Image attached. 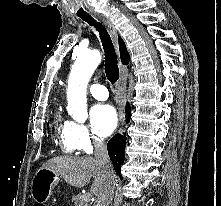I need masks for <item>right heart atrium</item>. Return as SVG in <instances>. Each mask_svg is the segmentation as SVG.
Listing matches in <instances>:
<instances>
[{
  "label": "right heart atrium",
  "instance_id": "obj_1",
  "mask_svg": "<svg viewBox=\"0 0 221 206\" xmlns=\"http://www.w3.org/2000/svg\"><path fill=\"white\" fill-rule=\"evenodd\" d=\"M74 140L76 148L86 153H90L93 147L101 142V139L82 123L74 124Z\"/></svg>",
  "mask_w": 221,
  "mask_h": 206
}]
</instances>
